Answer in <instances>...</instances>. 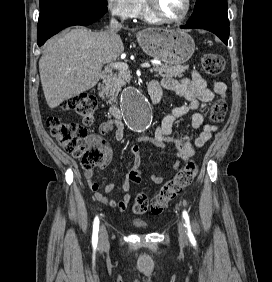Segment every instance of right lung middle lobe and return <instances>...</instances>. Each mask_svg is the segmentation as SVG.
<instances>
[{
  "label": "right lung middle lobe",
  "mask_w": 272,
  "mask_h": 282,
  "mask_svg": "<svg viewBox=\"0 0 272 282\" xmlns=\"http://www.w3.org/2000/svg\"><path fill=\"white\" fill-rule=\"evenodd\" d=\"M59 3H90L107 6V0H39L41 10Z\"/></svg>",
  "instance_id": "1"
}]
</instances>
